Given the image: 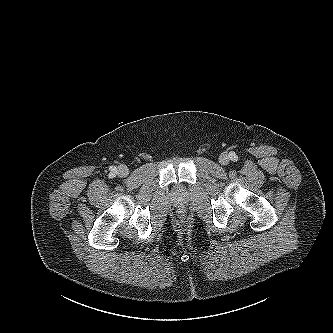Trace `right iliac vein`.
<instances>
[{
	"mask_svg": "<svg viewBox=\"0 0 333 333\" xmlns=\"http://www.w3.org/2000/svg\"><path fill=\"white\" fill-rule=\"evenodd\" d=\"M118 175L126 177L129 174V170L126 166H120L117 170Z\"/></svg>",
	"mask_w": 333,
	"mask_h": 333,
	"instance_id": "right-iliac-vein-1",
	"label": "right iliac vein"
}]
</instances>
